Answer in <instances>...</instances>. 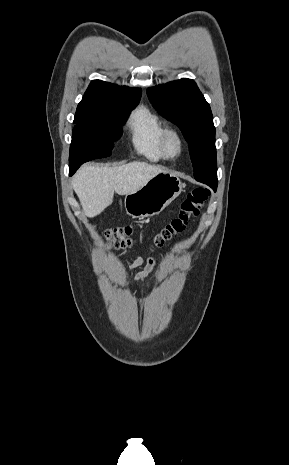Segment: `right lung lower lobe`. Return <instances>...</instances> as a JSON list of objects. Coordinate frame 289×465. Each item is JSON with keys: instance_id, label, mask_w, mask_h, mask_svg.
<instances>
[{"instance_id": "98d812e1", "label": "right lung lower lobe", "mask_w": 289, "mask_h": 465, "mask_svg": "<svg viewBox=\"0 0 289 465\" xmlns=\"http://www.w3.org/2000/svg\"><path fill=\"white\" fill-rule=\"evenodd\" d=\"M82 163H71L69 164V175H73L75 171L80 167Z\"/></svg>"}]
</instances>
